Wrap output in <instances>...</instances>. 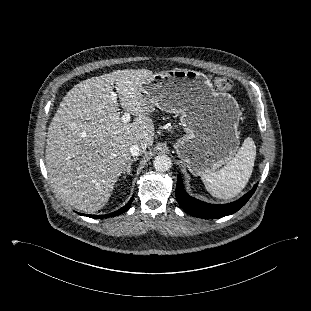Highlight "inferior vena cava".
Masks as SVG:
<instances>
[{"instance_id": "obj_1", "label": "inferior vena cava", "mask_w": 311, "mask_h": 311, "mask_svg": "<svg viewBox=\"0 0 311 311\" xmlns=\"http://www.w3.org/2000/svg\"><path fill=\"white\" fill-rule=\"evenodd\" d=\"M146 148H147L146 144L133 145L130 147V153L132 156H138L142 154L146 150Z\"/></svg>"}]
</instances>
